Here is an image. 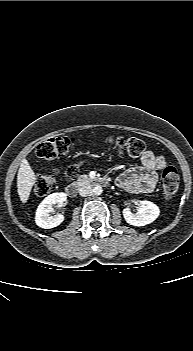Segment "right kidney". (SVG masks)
<instances>
[{"instance_id":"obj_1","label":"right kidney","mask_w":193,"mask_h":351,"mask_svg":"<svg viewBox=\"0 0 193 351\" xmlns=\"http://www.w3.org/2000/svg\"><path fill=\"white\" fill-rule=\"evenodd\" d=\"M67 200V195L64 192H56L48 195L38 206L36 210L35 222L44 229L54 228L64 221V216L57 214L51 216L53 205H62Z\"/></svg>"}]
</instances>
